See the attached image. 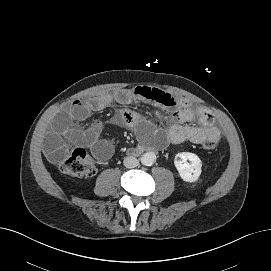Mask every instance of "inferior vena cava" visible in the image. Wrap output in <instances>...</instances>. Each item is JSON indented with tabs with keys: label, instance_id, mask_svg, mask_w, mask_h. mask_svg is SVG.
I'll use <instances>...</instances> for the list:
<instances>
[{
	"label": "inferior vena cava",
	"instance_id": "602c4592",
	"mask_svg": "<svg viewBox=\"0 0 271 271\" xmlns=\"http://www.w3.org/2000/svg\"><path fill=\"white\" fill-rule=\"evenodd\" d=\"M123 163L126 168H135L139 165L138 159L133 156L125 157Z\"/></svg>",
	"mask_w": 271,
	"mask_h": 271
}]
</instances>
